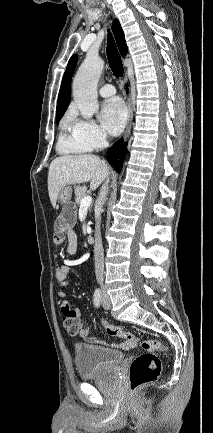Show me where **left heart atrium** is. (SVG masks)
<instances>
[{"mask_svg":"<svg viewBox=\"0 0 213 433\" xmlns=\"http://www.w3.org/2000/svg\"><path fill=\"white\" fill-rule=\"evenodd\" d=\"M127 120V111L119 98L106 101L101 112L103 127L112 135L122 132Z\"/></svg>","mask_w":213,"mask_h":433,"instance_id":"obj_1","label":"left heart atrium"}]
</instances>
